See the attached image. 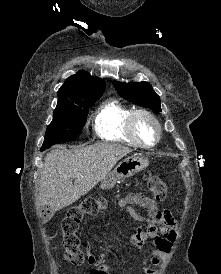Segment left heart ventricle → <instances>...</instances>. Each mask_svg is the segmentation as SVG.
Wrapping results in <instances>:
<instances>
[{
    "label": "left heart ventricle",
    "mask_w": 221,
    "mask_h": 274,
    "mask_svg": "<svg viewBox=\"0 0 221 274\" xmlns=\"http://www.w3.org/2000/svg\"><path fill=\"white\" fill-rule=\"evenodd\" d=\"M137 133L140 139L145 143H153L156 139V130L154 124L145 117L137 120Z\"/></svg>",
    "instance_id": "obj_1"
}]
</instances>
